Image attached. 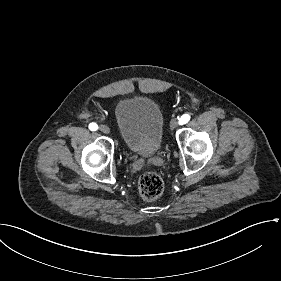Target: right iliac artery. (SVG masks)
I'll return each instance as SVG.
<instances>
[{
  "label": "right iliac artery",
  "mask_w": 281,
  "mask_h": 281,
  "mask_svg": "<svg viewBox=\"0 0 281 281\" xmlns=\"http://www.w3.org/2000/svg\"><path fill=\"white\" fill-rule=\"evenodd\" d=\"M89 129H90L91 131H96V130L98 129V126H97L96 123H91V124L89 125Z\"/></svg>",
  "instance_id": "right-iliac-artery-1"
}]
</instances>
